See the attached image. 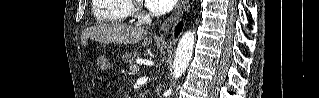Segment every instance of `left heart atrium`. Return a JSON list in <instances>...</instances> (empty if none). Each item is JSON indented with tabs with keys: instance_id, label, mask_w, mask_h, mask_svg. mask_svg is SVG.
<instances>
[{
	"instance_id": "39dd6f15",
	"label": "left heart atrium",
	"mask_w": 319,
	"mask_h": 98,
	"mask_svg": "<svg viewBox=\"0 0 319 98\" xmlns=\"http://www.w3.org/2000/svg\"><path fill=\"white\" fill-rule=\"evenodd\" d=\"M176 0H146L147 7L154 13V14H164L170 11Z\"/></svg>"
}]
</instances>
